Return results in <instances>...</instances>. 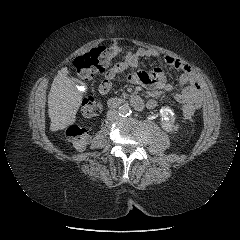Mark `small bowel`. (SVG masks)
Returning a JSON list of instances; mask_svg holds the SVG:
<instances>
[{"mask_svg":"<svg viewBox=\"0 0 240 240\" xmlns=\"http://www.w3.org/2000/svg\"><path fill=\"white\" fill-rule=\"evenodd\" d=\"M150 57L159 59L171 69L182 71L179 83L184 87L180 93L175 94L174 98L181 104L192 105L194 109H199L203 98L195 71L183 61L170 55L161 56L157 51L149 48H139L134 53L128 52L123 62L118 63L105 73L98 87L99 93L107 94L112 88L113 81L121 72L128 68L136 69L127 76V80L132 84L143 85L161 92L173 90L174 85L167 83L166 77L160 68H155L148 72L138 70L139 60ZM146 104L147 108L153 109L156 107L157 102L155 99H150Z\"/></svg>","mask_w":240,"mask_h":240,"instance_id":"small-bowel-1","label":"small bowel"}]
</instances>
